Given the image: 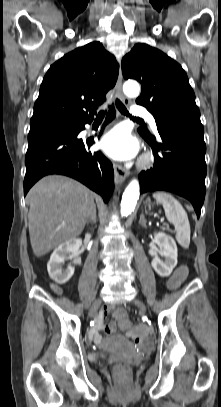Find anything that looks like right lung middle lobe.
<instances>
[{"instance_id": "dd1d6c3e", "label": "right lung middle lobe", "mask_w": 221, "mask_h": 407, "mask_svg": "<svg viewBox=\"0 0 221 407\" xmlns=\"http://www.w3.org/2000/svg\"><path fill=\"white\" fill-rule=\"evenodd\" d=\"M62 129H76L75 124H51V125H45V126H40V127H34L30 128L29 135L39 133V132H44V131H54V130H62Z\"/></svg>"}]
</instances>
